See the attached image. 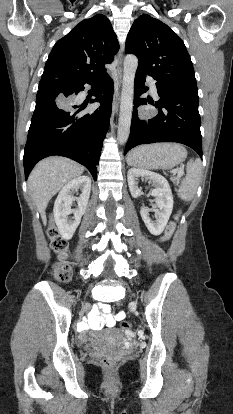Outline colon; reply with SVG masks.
Returning <instances> with one entry per match:
<instances>
[{
  "label": "colon",
  "instance_id": "1",
  "mask_svg": "<svg viewBox=\"0 0 233 414\" xmlns=\"http://www.w3.org/2000/svg\"><path fill=\"white\" fill-rule=\"evenodd\" d=\"M178 219H179V213H177L175 215L174 220L168 224L164 235L160 238L161 242L168 240L172 236L175 226H176V221ZM47 234H48V238L50 239L52 250L55 252L58 259L61 261V263L55 266L54 275L58 280L68 281L71 277V270L67 265L63 263V261L66 258L67 243L64 239L61 238L57 229L53 226H51L48 229ZM120 328L123 331H130L131 324L127 321H122L120 323ZM100 363L107 370H112L115 366V361L109 357L101 358Z\"/></svg>",
  "mask_w": 233,
  "mask_h": 414
}]
</instances>
